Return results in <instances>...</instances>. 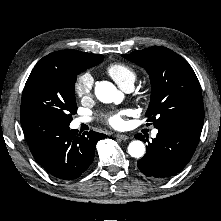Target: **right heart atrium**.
<instances>
[{"label":"right heart atrium","instance_id":"d8ad5b80","mask_svg":"<svg viewBox=\"0 0 221 221\" xmlns=\"http://www.w3.org/2000/svg\"><path fill=\"white\" fill-rule=\"evenodd\" d=\"M93 77L90 73L80 74L74 82V92L81 99H87L91 96L93 89Z\"/></svg>","mask_w":221,"mask_h":221}]
</instances>
